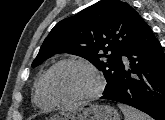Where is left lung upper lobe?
I'll use <instances>...</instances> for the list:
<instances>
[{
  "mask_svg": "<svg viewBox=\"0 0 165 120\" xmlns=\"http://www.w3.org/2000/svg\"><path fill=\"white\" fill-rule=\"evenodd\" d=\"M145 25L128 3L101 0L57 23L44 40L32 67L58 53L81 56L103 72L109 93L119 85L125 50Z\"/></svg>",
  "mask_w": 165,
  "mask_h": 120,
  "instance_id": "1",
  "label": "left lung upper lobe"
}]
</instances>
